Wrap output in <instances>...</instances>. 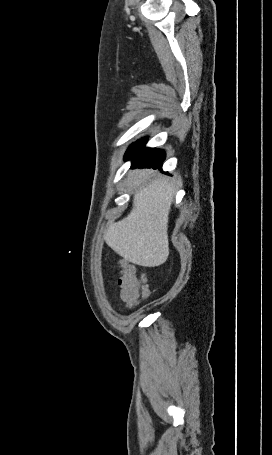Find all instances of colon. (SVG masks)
Returning a JSON list of instances; mask_svg holds the SVG:
<instances>
[{"label": "colon", "instance_id": "5ec220e1", "mask_svg": "<svg viewBox=\"0 0 272 455\" xmlns=\"http://www.w3.org/2000/svg\"><path fill=\"white\" fill-rule=\"evenodd\" d=\"M118 285L121 288V298L127 305H133L140 297L148 295L144 277L130 264L122 265Z\"/></svg>", "mask_w": 272, "mask_h": 455}]
</instances>
